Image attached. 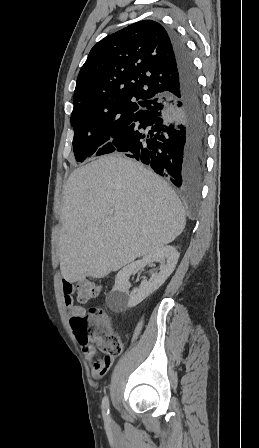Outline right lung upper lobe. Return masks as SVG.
Here are the masks:
<instances>
[{
    "mask_svg": "<svg viewBox=\"0 0 259 448\" xmlns=\"http://www.w3.org/2000/svg\"><path fill=\"white\" fill-rule=\"evenodd\" d=\"M179 74L166 29L143 20L107 36L90 51L71 115L145 106L176 91Z\"/></svg>",
    "mask_w": 259,
    "mask_h": 448,
    "instance_id": "1",
    "label": "right lung upper lobe"
}]
</instances>
